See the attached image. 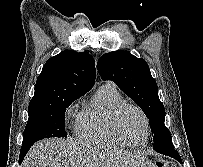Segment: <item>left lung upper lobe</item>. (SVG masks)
<instances>
[{
  "mask_svg": "<svg viewBox=\"0 0 203 167\" xmlns=\"http://www.w3.org/2000/svg\"><path fill=\"white\" fill-rule=\"evenodd\" d=\"M97 65L103 80L115 82L143 110L154 134V144L163 139L172 140L164 124L165 109L159 100L157 84L146 61L121 50L103 54Z\"/></svg>",
  "mask_w": 203,
  "mask_h": 167,
  "instance_id": "left-lung-upper-lobe-1",
  "label": "left lung upper lobe"
}]
</instances>
